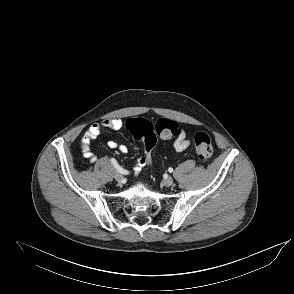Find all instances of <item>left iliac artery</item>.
<instances>
[{
  "mask_svg": "<svg viewBox=\"0 0 294 294\" xmlns=\"http://www.w3.org/2000/svg\"><path fill=\"white\" fill-rule=\"evenodd\" d=\"M168 173H173V168L172 167L168 168Z\"/></svg>",
  "mask_w": 294,
  "mask_h": 294,
  "instance_id": "1",
  "label": "left iliac artery"
}]
</instances>
